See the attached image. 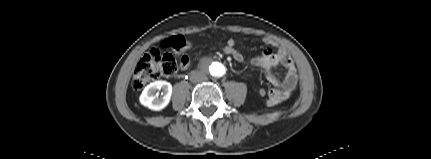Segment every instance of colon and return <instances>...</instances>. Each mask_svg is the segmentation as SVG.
Wrapping results in <instances>:
<instances>
[{"instance_id":"colon-1","label":"colon","mask_w":431,"mask_h":159,"mask_svg":"<svg viewBox=\"0 0 431 159\" xmlns=\"http://www.w3.org/2000/svg\"><path fill=\"white\" fill-rule=\"evenodd\" d=\"M188 47L187 40L182 36H173L167 39L164 43V49H153L144 55L137 63L132 76V88L134 90H142L148 83L158 80L162 77L173 76L178 69V64L175 56L166 51L170 48L173 51L180 53ZM224 54L232 55L240 53V50H235L230 47L229 51H221ZM261 96H266V91L260 90Z\"/></svg>"}]
</instances>
